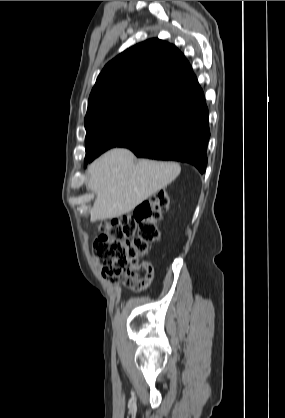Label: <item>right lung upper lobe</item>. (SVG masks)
Wrapping results in <instances>:
<instances>
[{
	"label": "right lung upper lobe",
	"instance_id": "right-lung-upper-lobe-1",
	"mask_svg": "<svg viewBox=\"0 0 285 418\" xmlns=\"http://www.w3.org/2000/svg\"><path fill=\"white\" fill-rule=\"evenodd\" d=\"M202 91L183 53L174 45L149 39L115 57L99 74L87 115L125 101L173 107Z\"/></svg>",
	"mask_w": 285,
	"mask_h": 418
}]
</instances>
